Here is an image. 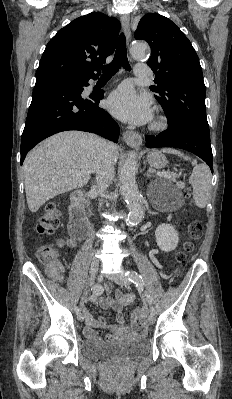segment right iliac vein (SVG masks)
<instances>
[{
  "label": "right iliac vein",
  "mask_w": 232,
  "mask_h": 399,
  "mask_svg": "<svg viewBox=\"0 0 232 399\" xmlns=\"http://www.w3.org/2000/svg\"><path fill=\"white\" fill-rule=\"evenodd\" d=\"M90 265L91 266H90L89 284L93 285L96 282L97 271L99 270V262L98 261H91ZM83 318H84L83 314H80L79 316L76 317V319L79 320V323L82 322Z\"/></svg>",
  "instance_id": "63e3f726"
}]
</instances>
